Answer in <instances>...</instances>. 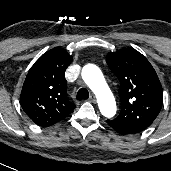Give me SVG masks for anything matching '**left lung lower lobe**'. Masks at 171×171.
Segmentation results:
<instances>
[{
  "mask_svg": "<svg viewBox=\"0 0 171 171\" xmlns=\"http://www.w3.org/2000/svg\"><path fill=\"white\" fill-rule=\"evenodd\" d=\"M107 123L119 134L123 135H129V134H136L139 132H142L147 127H149V124H142V123H130L125 124L122 126H114L111 122V120H107Z\"/></svg>",
  "mask_w": 171,
  "mask_h": 171,
  "instance_id": "left-lung-lower-lobe-1",
  "label": "left lung lower lobe"
}]
</instances>
